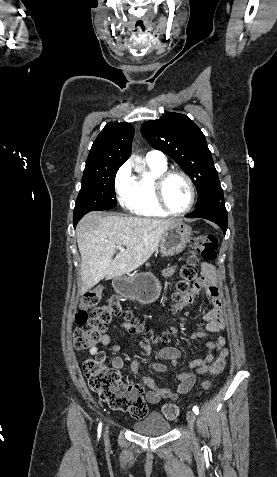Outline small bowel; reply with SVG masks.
<instances>
[{"instance_id": "c3829d8e", "label": "small bowel", "mask_w": 277, "mask_h": 477, "mask_svg": "<svg viewBox=\"0 0 277 477\" xmlns=\"http://www.w3.org/2000/svg\"><path fill=\"white\" fill-rule=\"evenodd\" d=\"M200 267L202 271V277L199 280L198 285L194 288L193 292L188 296V298L179 306L183 309L185 307L194 305L197 301L200 291H203L210 300L212 307L203 316L205 330L196 331L191 334V339H211L206 344L207 354L204 358L191 361L189 363V371L177 372L172 370L175 378L179 381V384L175 389L168 387H158L151 377L140 374V361H133L131 364V370L141 378L147 387H149L150 390L146 394V399L151 404H156L162 399L175 400L181 395H184L190 391L195 385L197 375L210 371L212 362L214 360V352L220 350L226 343L225 338L222 335H218V333L224 331L225 329L223 301L218 289V273L216 268L206 261L201 262ZM175 270V266L166 268L163 271V276L165 278H169L174 274ZM122 327L130 333L135 334L130 323H123ZM110 342V334H104L101 339L102 345L108 346ZM140 346L145 351V355L148 357L151 353L149 341L147 339H143L140 342ZM111 349L113 352L111 361L112 367L117 372H120L124 367L123 359L117 355L120 350V346L113 345ZM89 353L95 357L105 358V353L99 350L97 346L91 347L89 349ZM157 356L159 359L170 360L173 364H176L182 358V352L176 347H164L158 352ZM153 368L159 372L171 371L168 366L162 363H154Z\"/></svg>"}]
</instances>
